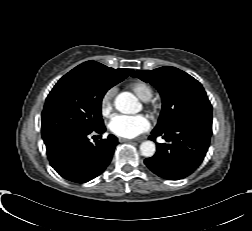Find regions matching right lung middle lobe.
Returning a JSON list of instances; mask_svg holds the SVG:
<instances>
[{"instance_id":"right-lung-middle-lobe-1","label":"right lung middle lobe","mask_w":252,"mask_h":231,"mask_svg":"<svg viewBox=\"0 0 252 231\" xmlns=\"http://www.w3.org/2000/svg\"><path fill=\"white\" fill-rule=\"evenodd\" d=\"M122 79L104 65L77 66L48 95L42 112V138L48 142L64 133H87L103 126L104 94Z\"/></svg>"}]
</instances>
